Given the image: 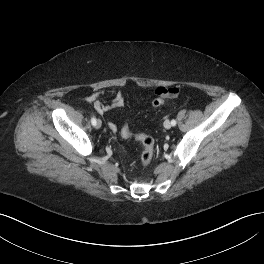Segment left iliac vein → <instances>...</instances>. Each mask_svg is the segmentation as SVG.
<instances>
[{
	"label": "left iliac vein",
	"mask_w": 264,
	"mask_h": 264,
	"mask_svg": "<svg viewBox=\"0 0 264 264\" xmlns=\"http://www.w3.org/2000/svg\"><path fill=\"white\" fill-rule=\"evenodd\" d=\"M171 126H172V124H171V122H170L169 120H166V121L164 122V127H165L166 129H170Z\"/></svg>",
	"instance_id": "1"
}]
</instances>
